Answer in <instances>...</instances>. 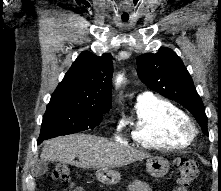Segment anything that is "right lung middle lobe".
Segmentation results:
<instances>
[{"instance_id": "obj_1", "label": "right lung middle lobe", "mask_w": 221, "mask_h": 191, "mask_svg": "<svg viewBox=\"0 0 221 191\" xmlns=\"http://www.w3.org/2000/svg\"><path fill=\"white\" fill-rule=\"evenodd\" d=\"M108 112L94 107L78 105L47 106L43 116L39 141L93 129Z\"/></svg>"}]
</instances>
